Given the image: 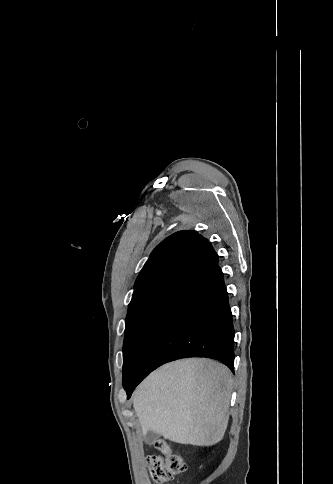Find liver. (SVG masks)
Returning a JSON list of instances; mask_svg holds the SVG:
<instances>
[{
	"instance_id": "6515ba94",
	"label": "liver",
	"mask_w": 333,
	"mask_h": 484,
	"mask_svg": "<svg viewBox=\"0 0 333 484\" xmlns=\"http://www.w3.org/2000/svg\"><path fill=\"white\" fill-rule=\"evenodd\" d=\"M231 390L225 365L204 358L179 360L142 381L133 408L143 435L153 431L176 443L209 447L226 431Z\"/></svg>"
}]
</instances>
